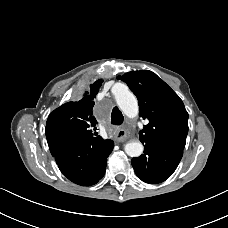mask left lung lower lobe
Here are the masks:
<instances>
[{
    "instance_id": "1",
    "label": "left lung lower lobe",
    "mask_w": 228,
    "mask_h": 228,
    "mask_svg": "<svg viewBox=\"0 0 228 228\" xmlns=\"http://www.w3.org/2000/svg\"><path fill=\"white\" fill-rule=\"evenodd\" d=\"M183 149L162 142L144 143V154L132 159L136 175L144 182L156 184L169 178L177 168Z\"/></svg>"
}]
</instances>
